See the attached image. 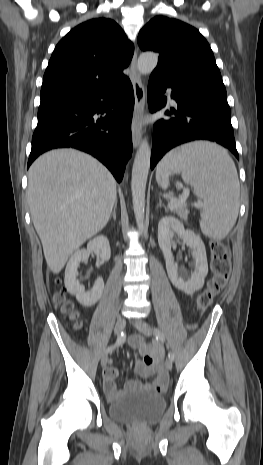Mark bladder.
Masks as SVG:
<instances>
[{"label":"bladder","instance_id":"bladder-1","mask_svg":"<svg viewBox=\"0 0 263 465\" xmlns=\"http://www.w3.org/2000/svg\"><path fill=\"white\" fill-rule=\"evenodd\" d=\"M166 407L162 395L148 390L125 394L109 404V416L120 423L152 425L164 413Z\"/></svg>","mask_w":263,"mask_h":465}]
</instances>
